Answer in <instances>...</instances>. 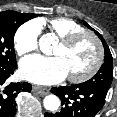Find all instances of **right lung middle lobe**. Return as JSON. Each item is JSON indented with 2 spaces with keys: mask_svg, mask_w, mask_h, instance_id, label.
Wrapping results in <instances>:
<instances>
[{
  "mask_svg": "<svg viewBox=\"0 0 117 117\" xmlns=\"http://www.w3.org/2000/svg\"><path fill=\"white\" fill-rule=\"evenodd\" d=\"M30 19L31 17L26 13L10 10L0 13V68L17 63L13 43L14 35L19 26Z\"/></svg>",
  "mask_w": 117,
  "mask_h": 117,
  "instance_id": "right-lung-middle-lobe-1",
  "label": "right lung middle lobe"
}]
</instances>
